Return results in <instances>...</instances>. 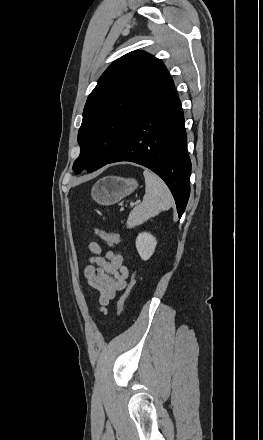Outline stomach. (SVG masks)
Instances as JSON below:
<instances>
[{
	"instance_id": "obj_1",
	"label": "stomach",
	"mask_w": 263,
	"mask_h": 440,
	"mask_svg": "<svg viewBox=\"0 0 263 440\" xmlns=\"http://www.w3.org/2000/svg\"><path fill=\"white\" fill-rule=\"evenodd\" d=\"M137 186L138 183L135 179L107 176L94 184L91 196L101 205H112L131 194Z\"/></svg>"
}]
</instances>
